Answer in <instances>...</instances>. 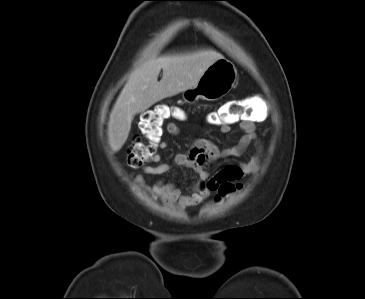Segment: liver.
I'll list each match as a JSON object with an SVG mask.
<instances>
[{
  "instance_id": "1",
  "label": "liver",
  "mask_w": 365,
  "mask_h": 299,
  "mask_svg": "<svg viewBox=\"0 0 365 299\" xmlns=\"http://www.w3.org/2000/svg\"><path fill=\"white\" fill-rule=\"evenodd\" d=\"M223 55L212 49L154 57L136 68L122 89L108 121V143L113 152L125 144L134 116L164 98L194 87L204 71ZM163 70L162 79L158 75Z\"/></svg>"
}]
</instances>
